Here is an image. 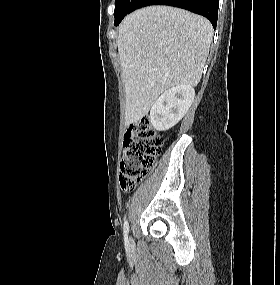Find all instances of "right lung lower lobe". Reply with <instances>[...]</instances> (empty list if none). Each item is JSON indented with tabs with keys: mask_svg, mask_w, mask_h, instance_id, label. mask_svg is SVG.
Listing matches in <instances>:
<instances>
[{
	"mask_svg": "<svg viewBox=\"0 0 280 285\" xmlns=\"http://www.w3.org/2000/svg\"><path fill=\"white\" fill-rule=\"evenodd\" d=\"M150 5H169L183 8L205 16L212 23L214 29L217 25L219 0H137L132 11Z\"/></svg>",
	"mask_w": 280,
	"mask_h": 285,
	"instance_id": "obj_1",
	"label": "right lung lower lobe"
}]
</instances>
